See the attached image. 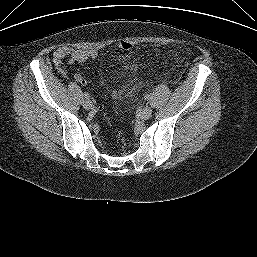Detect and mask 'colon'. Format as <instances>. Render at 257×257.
<instances>
[{
	"instance_id": "colon-1",
	"label": "colon",
	"mask_w": 257,
	"mask_h": 257,
	"mask_svg": "<svg viewBox=\"0 0 257 257\" xmlns=\"http://www.w3.org/2000/svg\"><path fill=\"white\" fill-rule=\"evenodd\" d=\"M117 47L120 50H130L133 48V44L128 40H120L117 43Z\"/></svg>"
}]
</instances>
